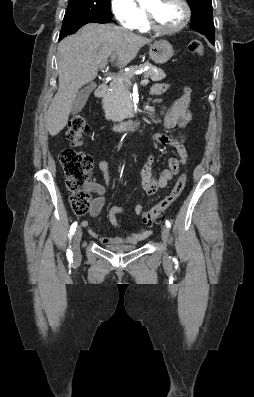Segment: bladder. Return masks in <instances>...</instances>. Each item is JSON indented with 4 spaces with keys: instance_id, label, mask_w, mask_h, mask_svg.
Here are the masks:
<instances>
[{
    "instance_id": "obj_1",
    "label": "bladder",
    "mask_w": 254,
    "mask_h": 397,
    "mask_svg": "<svg viewBox=\"0 0 254 397\" xmlns=\"http://www.w3.org/2000/svg\"><path fill=\"white\" fill-rule=\"evenodd\" d=\"M108 250L116 253L131 252L137 249L136 245H115L107 247Z\"/></svg>"
}]
</instances>
